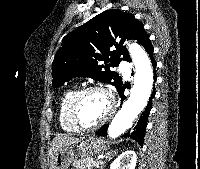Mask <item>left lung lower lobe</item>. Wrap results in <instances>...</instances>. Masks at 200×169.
<instances>
[{"label":"left lung lower lobe","mask_w":200,"mask_h":169,"mask_svg":"<svg viewBox=\"0 0 200 169\" xmlns=\"http://www.w3.org/2000/svg\"><path fill=\"white\" fill-rule=\"evenodd\" d=\"M146 51L149 54V57L151 59L153 67L155 68L156 62L153 59V47H152L151 43L147 44ZM154 75L156 76L155 73H154ZM155 81H156V77H155ZM124 89H125V85L122 84V86L117 90L122 101L125 99V96L123 94ZM154 95H155V90L153 91L152 97L149 100V103L146 106L144 112L142 113V115H141L137 125L135 126V128L131 132L129 131L124 135V137H130V138L134 139L141 146H143L144 133H145V130H146V125H147V118H148V115H149L150 110H151L152 98L154 97ZM106 134H107V125H104L102 128H100L96 132V135H99V136H106Z\"/></svg>","instance_id":"left-lung-lower-lobe-1"}]
</instances>
